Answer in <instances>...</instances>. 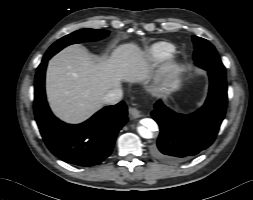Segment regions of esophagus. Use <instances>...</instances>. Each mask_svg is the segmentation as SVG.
Returning a JSON list of instances; mask_svg holds the SVG:
<instances>
[{
	"mask_svg": "<svg viewBox=\"0 0 253 200\" xmlns=\"http://www.w3.org/2000/svg\"><path fill=\"white\" fill-rule=\"evenodd\" d=\"M129 113L133 118H139L142 116V113L136 107H130Z\"/></svg>",
	"mask_w": 253,
	"mask_h": 200,
	"instance_id": "obj_1",
	"label": "esophagus"
}]
</instances>
